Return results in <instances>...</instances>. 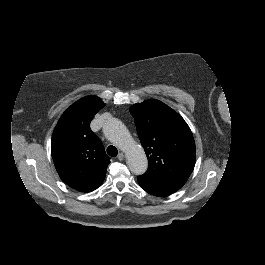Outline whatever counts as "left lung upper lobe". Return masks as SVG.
<instances>
[{
    "label": "left lung upper lobe",
    "instance_id": "1",
    "mask_svg": "<svg viewBox=\"0 0 265 265\" xmlns=\"http://www.w3.org/2000/svg\"><path fill=\"white\" fill-rule=\"evenodd\" d=\"M148 170L141 178L155 184L181 188L193 171L196 148L184 119L166 104L147 100L130 107Z\"/></svg>",
    "mask_w": 265,
    "mask_h": 265
}]
</instances>
